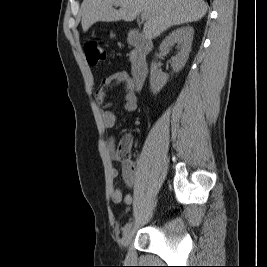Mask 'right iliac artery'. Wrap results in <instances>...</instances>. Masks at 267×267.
Here are the masks:
<instances>
[{
  "label": "right iliac artery",
  "mask_w": 267,
  "mask_h": 267,
  "mask_svg": "<svg viewBox=\"0 0 267 267\" xmlns=\"http://www.w3.org/2000/svg\"><path fill=\"white\" fill-rule=\"evenodd\" d=\"M130 227H131V223L126 224L123 228V234H125L130 229Z\"/></svg>",
  "instance_id": "obj_1"
}]
</instances>
